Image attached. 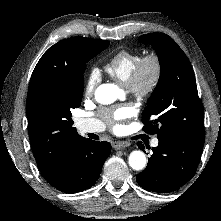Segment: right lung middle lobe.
<instances>
[{
    "mask_svg": "<svg viewBox=\"0 0 221 221\" xmlns=\"http://www.w3.org/2000/svg\"><path fill=\"white\" fill-rule=\"evenodd\" d=\"M109 41L85 38L76 55V65L63 70L42 90L36 103V113L44 120L64 119L73 122L71 109L78 108L83 95V73L86 63L106 49Z\"/></svg>",
    "mask_w": 221,
    "mask_h": 221,
    "instance_id": "obj_1",
    "label": "right lung middle lobe"
}]
</instances>
